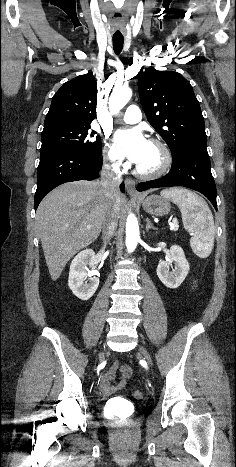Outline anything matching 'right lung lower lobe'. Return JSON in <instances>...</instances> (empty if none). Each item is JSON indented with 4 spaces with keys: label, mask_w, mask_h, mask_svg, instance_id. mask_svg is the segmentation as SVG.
<instances>
[{
    "label": "right lung lower lobe",
    "mask_w": 236,
    "mask_h": 467,
    "mask_svg": "<svg viewBox=\"0 0 236 467\" xmlns=\"http://www.w3.org/2000/svg\"><path fill=\"white\" fill-rule=\"evenodd\" d=\"M102 162L101 156L72 149H56L40 154L35 209L46 194L63 183L98 178ZM120 188L124 192V184Z\"/></svg>",
    "instance_id": "obj_1"
}]
</instances>
